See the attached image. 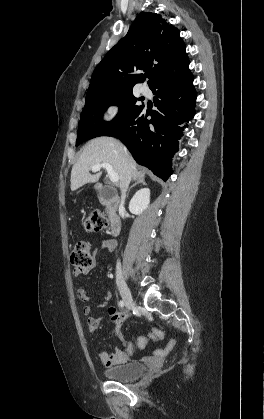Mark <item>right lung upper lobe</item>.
Returning a JSON list of instances; mask_svg holds the SVG:
<instances>
[{"mask_svg":"<svg viewBox=\"0 0 264 419\" xmlns=\"http://www.w3.org/2000/svg\"><path fill=\"white\" fill-rule=\"evenodd\" d=\"M185 44L177 28L156 13L138 15L128 33L94 70L87 96L133 89L144 81L137 70L151 73L149 87L158 81L189 72Z\"/></svg>","mask_w":264,"mask_h":419,"instance_id":"1","label":"right lung upper lobe"}]
</instances>
